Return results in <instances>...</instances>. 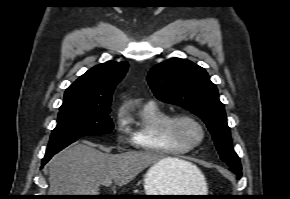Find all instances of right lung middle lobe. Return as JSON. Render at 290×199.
I'll list each match as a JSON object with an SVG mask.
<instances>
[{
  "label": "right lung middle lobe",
  "instance_id": "right-lung-middle-lobe-1",
  "mask_svg": "<svg viewBox=\"0 0 290 199\" xmlns=\"http://www.w3.org/2000/svg\"><path fill=\"white\" fill-rule=\"evenodd\" d=\"M110 106L60 108L45 156L54 155L82 136L106 134L113 129Z\"/></svg>",
  "mask_w": 290,
  "mask_h": 199
}]
</instances>
